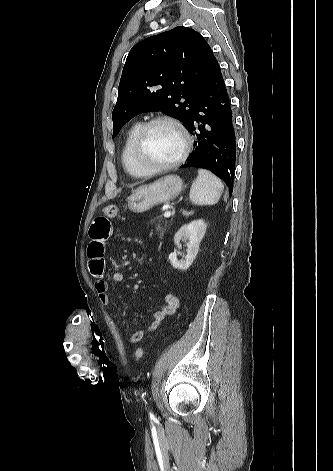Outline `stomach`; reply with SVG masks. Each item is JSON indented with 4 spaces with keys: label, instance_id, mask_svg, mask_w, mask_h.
<instances>
[{
    "label": "stomach",
    "instance_id": "0dacf381",
    "mask_svg": "<svg viewBox=\"0 0 333 471\" xmlns=\"http://www.w3.org/2000/svg\"><path fill=\"white\" fill-rule=\"evenodd\" d=\"M182 188L183 182L179 176L167 175L133 191L127 198V206L134 213H143L155 205L172 201Z\"/></svg>",
    "mask_w": 333,
    "mask_h": 471
}]
</instances>
